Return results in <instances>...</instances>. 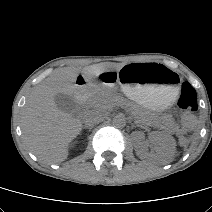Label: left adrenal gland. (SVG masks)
I'll return each mask as SVG.
<instances>
[{
    "label": "left adrenal gland",
    "instance_id": "left-adrenal-gland-1",
    "mask_svg": "<svg viewBox=\"0 0 212 212\" xmlns=\"http://www.w3.org/2000/svg\"><path fill=\"white\" fill-rule=\"evenodd\" d=\"M136 126H138V127H139V124H137V123H136Z\"/></svg>",
    "mask_w": 212,
    "mask_h": 212
}]
</instances>
